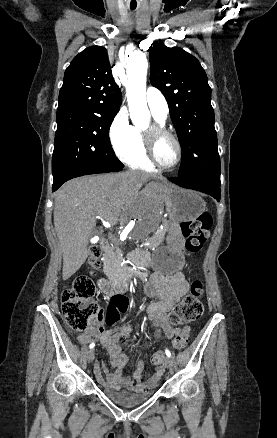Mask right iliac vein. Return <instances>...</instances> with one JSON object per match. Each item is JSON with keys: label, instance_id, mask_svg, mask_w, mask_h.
I'll return each mask as SVG.
<instances>
[{"label": "right iliac vein", "instance_id": "obj_1", "mask_svg": "<svg viewBox=\"0 0 277 438\" xmlns=\"http://www.w3.org/2000/svg\"><path fill=\"white\" fill-rule=\"evenodd\" d=\"M94 355H95L94 349H90V350L87 352V356H86V358H87L88 363L93 362V360H94Z\"/></svg>", "mask_w": 277, "mask_h": 438}]
</instances>
